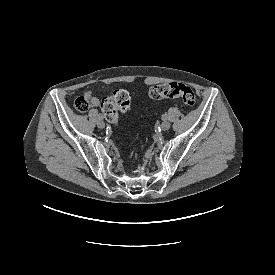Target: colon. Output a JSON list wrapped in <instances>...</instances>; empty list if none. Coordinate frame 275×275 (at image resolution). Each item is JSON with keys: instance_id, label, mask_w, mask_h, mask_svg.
<instances>
[{"instance_id": "colon-1", "label": "colon", "mask_w": 275, "mask_h": 275, "mask_svg": "<svg viewBox=\"0 0 275 275\" xmlns=\"http://www.w3.org/2000/svg\"><path fill=\"white\" fill-rule=\"evenodd\" d=\"M152 99L180 98L186 105L195 103V93L191 87L181 82H167L154 85L149 90ZM91 101L87 96L75 100L74 107L79 112H86L91 107ZM132 106L131 96L128 91L120 89L112 96L104 97L100 102L102 115L110 124H115L118 112H128Z\"/></svg>"}]
</instances>
